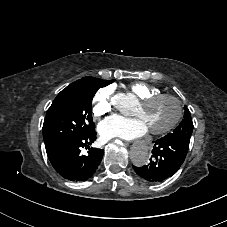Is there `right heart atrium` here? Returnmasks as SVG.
<instances>
[{
    "mask_svg": "<svg viewBox=\"0 0 227 227\" xmlns=\"http://www.w3.org/2000/svg\"><path fill=\"white\" fill-rule=\"evenodd\" d=\"M112 87H104L98 90L94 97L93 112L96 116H103L112 110Z\"/></svg>",
    "mask_w": 227,
    "mask_h": 227,
    "instance_id": "obj_1",
    "label": "right heart atrium"
}]
</instances>
